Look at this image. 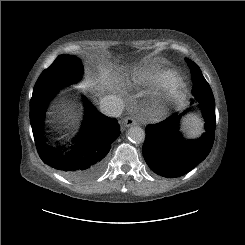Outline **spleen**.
Listing matches in <instances>:
<instances>
[{
    "mask_svg": "<svg viewBox=\"0 0 245 245\" xmlns=\"http://www.w3.org/2000/svg\"><path fill=\"white\" fill-rule=\"evenodd\" d=\"M185 129L190 137H196L201 133V124L197 117H190L186 120Z\"/></svg>",
    "mask_w": 245,
    "mask_h": 245,
    "instance_id": "1",
    "label": "spleen"
}]
</instances>
